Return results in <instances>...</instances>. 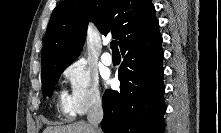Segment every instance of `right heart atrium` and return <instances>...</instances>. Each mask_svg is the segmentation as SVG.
<instances>
[{
  "label": "right heart atrium",
  "mask_w": 221,
  "mask_h": 133,
  "mask_svg": "<svg viewBox=\"0 0 221 133\" xmlns=\"http://www.w3.org/2000/svg\"><path fill=\"white\" fill-rule=\"evenodd\" d=\"M69 85L68 100L73 113L83 115L99 108L102 94L97 73L82 60L74 61L63 71Z\"/></svg>",
  "instance_id": "right-heart-atrium-1"
}]
</instances>
